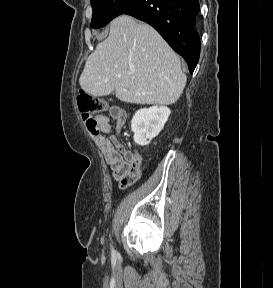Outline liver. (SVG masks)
Segmentation results:
<instances>
[{"label": "liver", "instance_id": "liver-1", "mask_svg": "<svg viewBox=\"0 0 273 288\" xmlns=\"http://www.w3.org/2000/svg\"><path fill=\"white\" fill-rule=\"evenodd\" d=\"M79 83L93 96L115 91L123 102L171 105L181 96L186 76L179 57L153 27L121 15L86 60Z\"/></svg>", "mask_w": 273, "mask_h": 288}]
</instances>
